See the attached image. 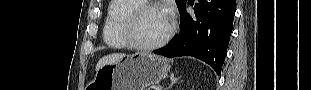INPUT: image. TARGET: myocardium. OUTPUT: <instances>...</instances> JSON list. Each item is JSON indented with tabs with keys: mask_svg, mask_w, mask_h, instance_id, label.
<instances>
[{
	"mask_svg": "<svg viewBox=\"0 0 311 90\" xmlns=\"http://www.w3.org/2000/svg\"><path fill=\"white\" fill-rule=\"evenodd\" d=\"M162 9L161 6L154 3H144L129 12L124 20L123 33L130 47L139 51H152L165 45L175 32L176 24L174 19L170 18V27L166 34L158 41L151 44H144L137 38V26L142 14L148 10Z\"/></svg>",
	"mask_w": 311,
	"mask_h": 90,
	"instance_id": "obj_1",
	"label": "myocardium"
}]
</instances>
